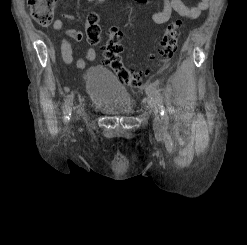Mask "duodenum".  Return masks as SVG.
Wrapping results in <instances>:
<instances>
[{
    "label": "duodenum",
    "instance_id": "1",
    "mask_svg": "<svg viewBox=\"0 0 247 245\" xmlns=\"http://www.w3.org/2000/svg\"><path fill=\"white\" fill-rule=\"evenodd\" d=\"M98 2H101V1H103V0H97Z\"/></svg>",
    "mask_w": 247,
    "mask_h": 245
}]
</instances>
